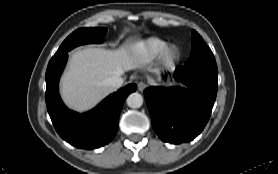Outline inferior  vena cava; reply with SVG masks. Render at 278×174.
<instances>
[{
    "mask_svg": "<svg viewBox=\"0 0 278 174\" xmlns=\"http://www.w3.org/2000/svg\"><path fill=\"white\" fill-rule=\"evenodd\" d=\"M123 84V79L119 75H115L107 79V85L114 87V88H119Z\"/></svg>",
    "mask_w": 278,
    "mask_h": 174,
    "instance_id": "1",
    "label": "inferior vena cava"
}]
</instances>
